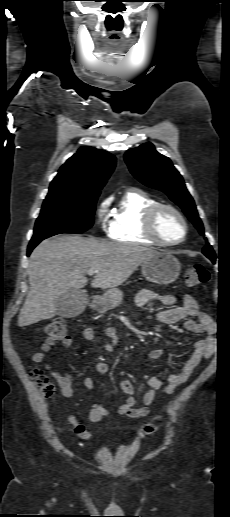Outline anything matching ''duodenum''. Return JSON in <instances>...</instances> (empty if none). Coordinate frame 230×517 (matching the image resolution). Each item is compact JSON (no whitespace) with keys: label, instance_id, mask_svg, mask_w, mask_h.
I'll use <instances>...</instances> for the list:
<instances>
[{"label":"duodenum","instance_id":"duodenum-1","mask_svg":"<svg viewBox=\"0 0 230 517\" xmlns=\"http://www.w3.org/2000/svg\"><path fill=\"white\" fill-rule=\"evenodd\" d=\"M91 301L94 303L95 306H98V303L101 301V298L93 296L91 298Z\"/></svg>","mask_w":230,"mask_h":517}]
</instances>
